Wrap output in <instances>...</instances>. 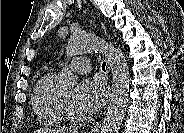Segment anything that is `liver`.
Masks as SVG:
<instances>
[{"mask_svg": "<svg viewBox=\"0 0 184 133\" xmlns=\"http://www.w3.org/2000/svg\"><path fill=\"white\" fill-rule=\"evenodd\" d=\"M35 133H65V130L39 129Z\"/></svg>", "mask_w": 184, "mask_h": 133, "instance_id": "1", "label": "liver"}]
</instances>
